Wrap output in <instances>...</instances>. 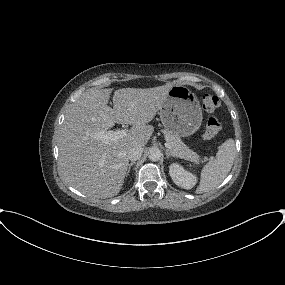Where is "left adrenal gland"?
I'll use <instances>...</instances> for the list:
<instances>
[{
	"label": "left adrenal gland",
	"mask_w": 285,
	"mask_h": 285,
	"mask_svg": "<svg viewBox=\"0 0 285 285\" xmlns=\"http://www.w3.org/2000/svg\"><path fill=\"white\" fill-rule=\"evenodd\" d=\"M165 154H166V157H167V159L169 158V157H175L173 154H171L170 152H169V150H166L165 151Z\"/></svg>",
	"instance_id": "a2214340"
}]
</instances>
